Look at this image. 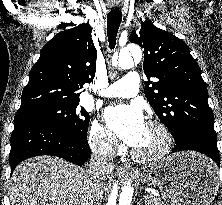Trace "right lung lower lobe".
<instances>
[{
  "mask_svg": "<svg viewBox=\"0 0 222 205\" xmlns=\"http://www.w3.org/2000/svg\"><path fill=\"white\" fill-rule=\"evenodd\" d=\"M90 152L87 136L42 121H17L11 135V173L20 162L33 156L53 155L82 165Z\"/></svg>",
  "mask_w": 222,
  "mask_h": 205,
  "instance_id": "right-lung-lower-lobe-1",
  "label": "right lung lower lobe"
}]
</instances>
